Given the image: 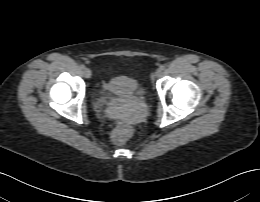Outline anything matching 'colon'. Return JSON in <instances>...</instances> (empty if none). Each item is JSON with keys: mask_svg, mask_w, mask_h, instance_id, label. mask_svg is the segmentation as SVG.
<instances>
[{"mask_svg": "<svg viewBox=\"0 0 260 202\" xmlns=\"http://www.w3.org/2000/svg\"><path fill=\"white\" fill-rule=\"evenodd\" d=\"M130 136V131L127 125L119 122L112 132V140L115 144H123Z\"/></svg>", "mask_w": 260, "mask_h": 202, "instance_id": "1", "label": "colon"}]
</instances>
